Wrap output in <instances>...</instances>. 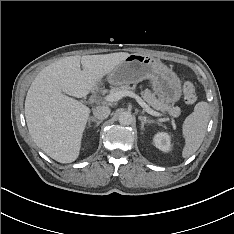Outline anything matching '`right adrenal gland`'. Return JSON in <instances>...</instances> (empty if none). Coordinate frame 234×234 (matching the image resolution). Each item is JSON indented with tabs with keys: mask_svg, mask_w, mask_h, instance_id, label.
<instances>
[{
	"mask_svg": "<svg viewBox=\"0 0 234 234\" xmlns=\"http://www.w3.org/2000/svg\"><path fill=\"white\" fill-rule=\"evenodd\" d=\"M91 122H95L96 123V126H99L101 123H102V121H98V120H96L95 118H90L89 119V127H90V123Z\"/></svg>",
	"mask_w": 234,
	"mask_h": 234,
	"instance_id": "1",
	"label": "right adrenal gland"
}]
</instances>
